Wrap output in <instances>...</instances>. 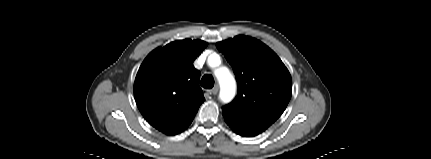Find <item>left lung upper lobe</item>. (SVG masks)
<instances>
[{
  "label": "left lung upper lobe",
  "instance_id": "1",
  "mask_svg": "<svg viewBox=\"0 0 431 159\" xmlns=\"http://www.w3.org/2000/svg\"><path fill=\"white\" fill-rule=\"evenodd\" d=\"M231 64L238 83L234 101L223 108L228 125L264 131L286 109L292 79L280 58L252 37L239 35L216 44Z\"/></svg>",
  "mask_w": 431,
  "mask_h": 159
}]
</instances>
